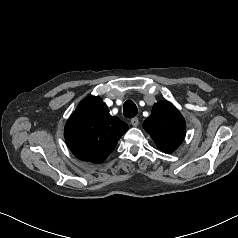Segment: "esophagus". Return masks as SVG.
Returning a JSON list of instances; mask_svg holds the SVG:
<instances>
[{
    "label": "esophagus",
    "instance_id": "esophagus-1",
    "mask_svg": "<svg viewBox=\"0 0 238 238\" xmlns=\"http://www.w3.org/2000/svg\"><path fill=\"white\" fill-rule=\"evenodd\" d=\"M131 124H132V126L137 127L139 124V119L137 117L132 118Z\"/></svg>",
    "mask_w": 238,
    "mask_h": 238
}]
</instances>
